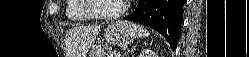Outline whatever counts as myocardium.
I'll list each match as a JSON object with an SVG mask.
<instances>
[{"instance_id": "1", "label": "myocardium", "mask_w": 249, "mask_h": 57, "mask_svg": "<svg viewBox=\"0 0 249 57\" xmlns=\"http://www.w3.org/2000/svg\"><path fill=\"white\" fill-rule=\"evenodd\" d=\"M95 0H83V9L93 18L98 20H115L120 18L128 9L129 1H124L121 9L115 13L111 14H101L94 9Z\"/></svg>"}]
</instances>
